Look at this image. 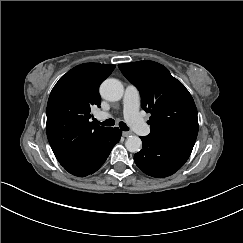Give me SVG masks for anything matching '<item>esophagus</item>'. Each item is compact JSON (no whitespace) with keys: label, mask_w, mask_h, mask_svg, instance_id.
Listing matches in <instances>:
<instances>
[{"label":"esophagus","mask_w":243,"mask_h":243,"mask_svg":"<svg viewBox=\"0 0 243 243\" xmlns=\"http://www.w3.org/2000/svg\"><path fill=\"white\" fill-rule=\"evenodd\" d=\"M132 134H133L132 132L127 131V132H123L122 136L123 137H128V136H131Z\"/></svg>","instance_id":"esophagus-1"}]
</instances>
